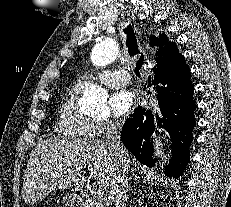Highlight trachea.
Wrapping results in <instances>:
<instances>
[{"label": "trachea", "instance_id": "obj_1", "mask_svg": "<svg viewBox=\"0 0 231 207\" xmlns=\"http://www.w3.org/2000/svg\"><path fill=\"white\" fill-rule=\"evenodd\" d=\"M126 34V46L128 48V53L131 57L136 56L140 54V51L138 49V44H137V38L134 32V29L132 28L131 25H128L126 28L123 30ZM144 62V56L141 54L139 59L136 62V66L134 69L135 74L140 77V70Z\"/></svg>", "mask_w": 231, "mask_h": 207}]
</instances>
